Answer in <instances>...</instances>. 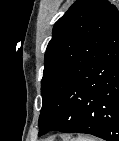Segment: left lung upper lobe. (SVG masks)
Returning a JSON list of instances; mask_svg holds the SVG:
<instances>
[{"mask_svg": "<svg viewBox=\"0 0 119 141\" xmlns=\"http://www.w3.org/2000/svg\"><path fill=\"white\" fill-rule=\"evenodd\" d=\"M119 15L107 0H77L55 23L45 54L42 109L83 72Z\"/></svg>", "mask_w": 119, "mask_h": 141, "instance_id": "obj_1", "label": "left lung upper lobe"}]
</instances>
